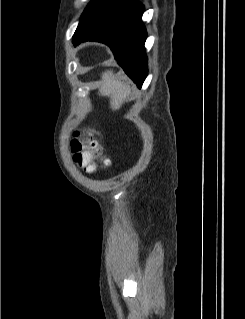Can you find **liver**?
<instances>
[{
  "label": "liver",
  "mask_w": 245,
  "mask_h": 319,
  "mask_svg": "<svg viewBox=\"0 0 245 319\" xmlns=\"http://www.w3.org/2000/svg\"><path fill=\"white\" fill-rule=\"evenodd\" d=\"M130 87L115 78L112 70L102 73L99 95L110 98V106L113 110L121 107L123 101L129 95Z\"/></svg>",
  "instance_id": "obj_1"
}]
</instances>
